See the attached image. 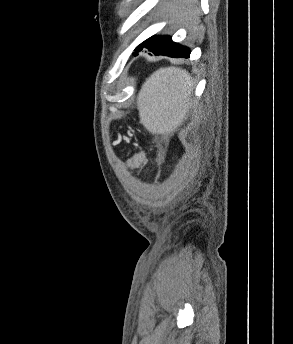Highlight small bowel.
Returning a JSON list of instances; mask_svg holds the SVG:
<instances>
[{"label": "small bowel", "instance_id": "small-bowel-1", "mask_svg": "<svg viewBox=\"0 0 293 344\" xmlns=\"http://www.w3.org/2000/svg\"><path fill=\"white\" fill-rule=\"evenodd\" d=\"M147 162V158L144 153H138L134 156L133 161L131 162L130 166L133 169H138L144 166Z\"/></svg>", "mask_w": 293, "mask_h": 344}]
</instances>
